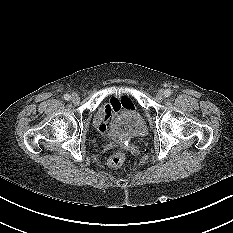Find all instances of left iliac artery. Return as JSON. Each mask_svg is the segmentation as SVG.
Here are the masks:
<instances>
[{
    "label": "left iliac artery",
    "instance_id": "obj_1",
    "mask_svg": "<svg viewBox=\"0 0 233 233\" xmlns=\"http://www.w3.org/2000/svg\"><path fill=\"white\" fill-rule=\"evenodd\" d=\"M171 95V92L169 90L164 91V96L169 97Z\"/></svg>",
    "mask_w": 233,
    "mask_h": 233
}]
</instances>
